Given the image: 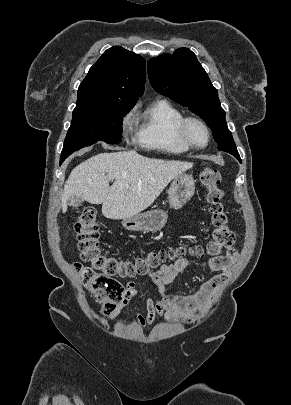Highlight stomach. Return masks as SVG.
<instances>
[{
    "label": "stomach",
    "mask_w": 291,
    "mask_h": 405,
    "mask_svg": "<svg viewBox=\"0 0 291 405\" xmlns=\"http://www.w3.org/2000/svg\"><path fill=\"white\" fill-rule=\"evenodd\" d=\"M195 183L192 176L180 174L174 178L168 190L170 207L180 209L194 195ZM168 219V214L162 209H153L124 218L122 226L130 231L156 232L161 230Z\"/></svg>",
    "instance_id": "obj_1"
}]
</instances>
